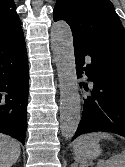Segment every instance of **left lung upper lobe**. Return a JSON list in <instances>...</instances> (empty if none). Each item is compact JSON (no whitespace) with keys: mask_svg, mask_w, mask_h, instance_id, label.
<instances>
[{"mask_svg":"<svg viewBox=\"0 0 125 167\" xmlns=\"http://www.w3.org/2000/svg\"><path fill=\"white\" fill-rule=\"evenodd\" d=\"M54 20H65L74 42L87 48L109 45L125 53V30L109 0H57Z\"/></svg>","mask_w":125,"mask_h":167,"instance_id":"left-lung-upper-lobe-1","label":"left lung upper lobe"}]
</instances>
